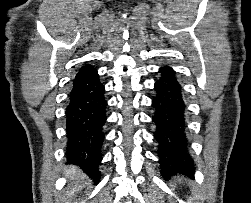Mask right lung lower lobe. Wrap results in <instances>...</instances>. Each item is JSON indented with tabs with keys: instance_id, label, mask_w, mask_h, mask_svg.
I'll use <instances>...</instances> for the list:
<instances>
[{
	"instance_id": "obj_1",
	"label": "right lung lower lobe",
	"mask_w": 251,
	"mask_h": 203,
	"mask_svg": "<svg viewBox=\"0 0 251 203\" xmlns=\"http://www.w3.org/2000/svg\"><path fill=\"white\" fill-rule=\"evenodd\" d=\"M104 93L98 72L91 66L76 75L65 111L66 158L95 181L100 177L106 122Z\"/></svg>"
}]
</instances>
